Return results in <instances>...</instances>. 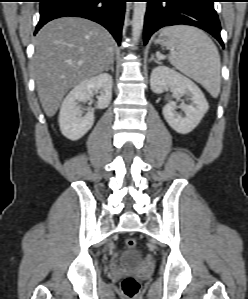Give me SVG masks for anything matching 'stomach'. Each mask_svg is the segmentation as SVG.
Masks as SVG:
<instances>
[{"instance_id":"1","label":"stomach","mask_w":248,"mask_h":299,"mask_svg":"<svg viewBox=\"0 0 248 299\" xmlns=\"http://www.w3.org/2000/svg\"><path fill=\"white\" fill-rule=\"evenodd\" d=\"M155 42H156V43H161L162 40H161V39H157Z\"/></svg>"}]
</instances>
